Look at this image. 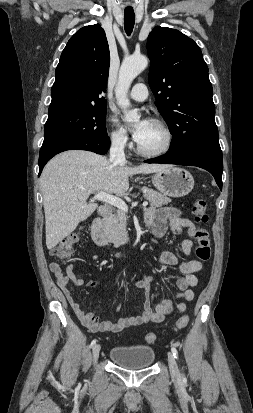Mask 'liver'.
<instances>
[{"mask_svg": "<svg viewBox=\"0 0 253 413\" xmlns=\"http://www.w3.org/2000/svg\"><path fill=\"white\" fill-rule=\"evenodd\" d=\"M168 166L114 165L106 157L84 150H69L52 158L40 176L47 248H54L93 214L98 204L87 203L91 193L124 194L129 176L156 173Z\"/></svg>", "mask_w": 253, "mask_h": 413, "instance_id": "liver-1", "label": "liver"}]
</instances>
